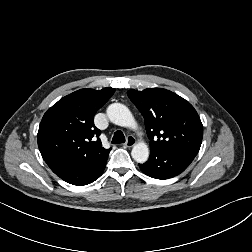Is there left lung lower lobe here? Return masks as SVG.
<instances>
[{"label":"left lung lower lobe","instance_id":"obj_1","mask_svg":"<svg viewBox=\"0 0 252 252\" xmlns=\"http://www.w3.org/2000/svg\"><path fill=\"white\" fill-rule=\"evenodd\" d=\"M195 156L182 152L150 153L148 161L139 164L146 175L156 179H168L183 172Z\"/></svg>","mask_w":252,"mask_h":252}]
</instances>
